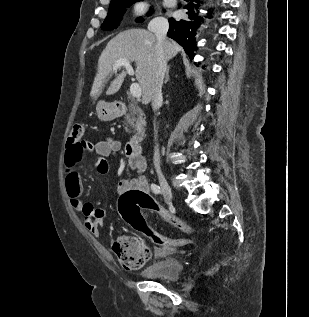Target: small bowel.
<instances>
[{"label": "small bowel", "mask_w": 309, "mask_h": 317, "mask_svg": "<svg viewBox=\"0 0 309 317\" xmlns=\"http://www.w3.org/2000/svg\"><path fill=\"white\" fill-rule=\"evenodd\" d=\"M90 149L84 146V155L95 151L96 157L93 167L97 173L106 174L108 172V158L116 155L121 149V142L114 138H107L96 142L94 145L88 143ZM81 161V160H80ZM68 164L65 161V189L72 207L83 214V224L88 232L93 236H100V228L104 226L106 212L92 203L83 200V184L78 170V163ZM127 168L135 170L138 176L125 178L119 181L117 191L120 195L128 190L136 189L149 193V184L146 177L142 174L146 168V161L142 155L129 158ZM168 248H157V255L164 254Z\"/></svg>", "instance_id": "1"}]
</instances>
